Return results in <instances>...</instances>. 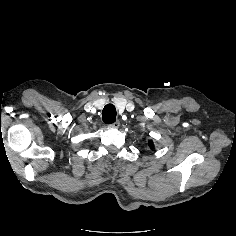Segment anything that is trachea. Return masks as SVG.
Returning <instances> with one entry per match:
<instances>
[{
	"mask_svg": "<svg viewBox=\"0 0 236 236\" xmlns=\"http://www.w3.org/2000/svg\"><path fill=\"white\" fill-rule=\"evenodd\" d=\"M116 108L113 104H107L102 112L103 122L106 124H112L116 121Z\"/></svg>",
	"mask_w": 236,
	"mask_h": 236,
	"instance_id": "obj_1",
	"label": "trachea"
}]
</instances>
